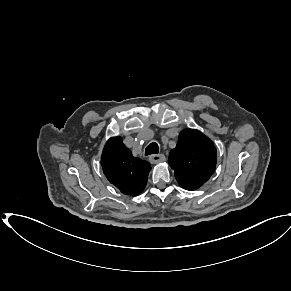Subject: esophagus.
<instances>
[{"mask_svg":"<svg viewBox=\"0 0 291 291\" xmlns=\"http://www.w3.org/2000/svg\"><path fill=\"white\" fill-rule=\"evenodd\" d=\"M166 160V157L163 154H153L149 157V161L152 164H157Z\"/></svg>","mask_w":291,"mask_h":291,"instance_id":"1","label":"esophagus"}]
</instances>
